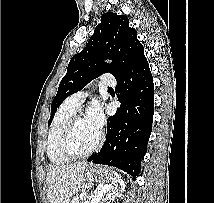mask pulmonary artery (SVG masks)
I'll list each match as a JSON object with an SVG mask.
<instances>
[{
    "instance_id": "obj_1",
    "label": "pulmonary artery",
    "mask_w": 214,
    "mask_h": 203,
    "mask_svg": "<svg viewBox=\"0 0 214 203\" xmlns=\"http://www.w3.org/2000/svg\"><path fill=\"white\" fill-rule=\"evenodd\" d=\"M100 83L106 87H113L116 84L114 77L110 73L103 74ZM86 96L85 90L78 91L67 98V103L75 110L80 109Z\"/></svg>"
}]
</instances>
